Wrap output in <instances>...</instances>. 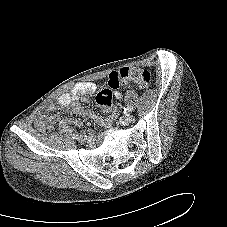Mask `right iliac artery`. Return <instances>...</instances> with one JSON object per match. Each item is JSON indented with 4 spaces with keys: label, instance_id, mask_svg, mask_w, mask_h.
<instances>
[{
    "label": "right iliac artery",
    "instance_id": "1",
    "mask_svg": "<svg viewBox=\"0 0 227 227\" xmlns=\"http://www.w3.org/2000/svg\"><path fill=\"white\" fill-rule=\"evenodd\" d=\"M72 138L77 139L78 138V134H73Z\"/></svg>",
    "mask_w": 227,
    "mask_h": 227
}]
</instances>
